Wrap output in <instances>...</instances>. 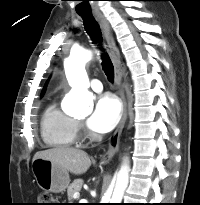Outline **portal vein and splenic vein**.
<instances>
[{
  "label": "portal vein and splenic vein",
  "mask_w": 200,
  "mask_h": 205,
  "mask_svg": "<svg viewBox=\"0 0 200 205\" xmlns=\"http://www.w3.org/2000/svg\"><path fill=\"white\" fill-rule=\"evenodd\" d=\"M79 196H80L79 192H75V193L73 194V198H74V199L79 198Z\"/></svg>",
  "instance_id": "1"
}]
</instances>
